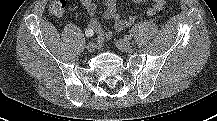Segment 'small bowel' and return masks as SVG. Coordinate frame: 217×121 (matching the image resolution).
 I'll return each mask as SVG.
<instances>
[{
  "label": "small bowel",
  "instance_id": "1",
  "mask_svg": "<svg viewBox=\"0 0 217 121\" xmlns=\"http://www.w3.org/2000/svg\"><path fill=\"white\" fill-rule=\"evenodd\" d=\"M136 3L144 2L146 0H133ZM85 7L88 14L92 17L89 22V28L98 35V41L110 40L114 35L123 29L130 27L134 21V16L122 17L117 11V0H103L104 12L103 18L108 21H113V30L104 31L101 23L95 18L97 12L96 0H80ZM165 0H152V4L147 8L149 16L155 15L157 12L163 10Z\"/></svg>",
  "mask_w": 217,
  "mask_h": 121
}]
</instances>
